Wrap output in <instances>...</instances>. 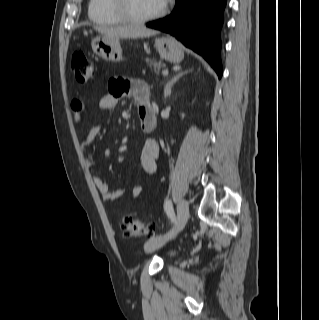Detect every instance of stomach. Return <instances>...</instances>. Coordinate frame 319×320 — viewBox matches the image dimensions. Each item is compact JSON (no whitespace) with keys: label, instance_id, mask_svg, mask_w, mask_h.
Returning <instances> with one entry per match:
<instances>
[{"label":"stomach","instance_id":"stomach-1","mask_svg":"<svg viewBox=\"0 0 319 320\" xmlns=\"http://www.w3.org/2000/svg\"><path fill=\"white\" fill-rule=\"evenodd\" d=\"M91 46L94 53L106 61L119 62L123 59L119 38L102 34L92 40ZM154 46L161 59L172 63H180L184 58L179 43L173 37L157 38Z\"/></svg>","mask_w":319,"mask_h":320}]
</instances>
